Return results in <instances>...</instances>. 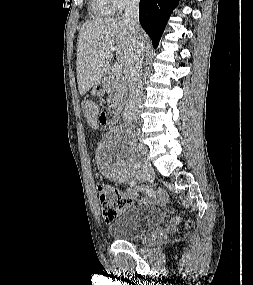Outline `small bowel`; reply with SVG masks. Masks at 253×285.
<instances>
[{"label":"small bowel","instance_id":"c3829d8e","mask_svg":"<svg viewBox=\"0 0 253 285\" xmlns=\"http://www.w3.org/2000/svg\"><path fill=\"white\" fill-rule=\"evenodd\" d=\"M109 109H99L98 122L100 126H109ZM133 180V179H130ZM133 200L139 199L140 204L165 205L168 201L166 192L163 189L157 191L149 187L127 188L124 190Z\"/></svg>","mask_w":253,"mask_h":285}]
</instances>
